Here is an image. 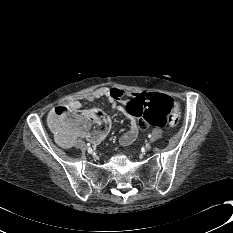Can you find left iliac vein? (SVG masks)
Masks as SVG:
<instances>
[{"mask_svg": "<svg viewBox=\"0 0 233 233\" xmlns=\"http://www.w3.org/2000/svg\"><path fill=\"white\" fill-rule=\"evenodd\" d=\"M150 149H151V144L150 143H146L145 150L149 151Z\"/></svg>", "mask_w": 233, "mask_h": 233, "instance_id": "obj_1", "label": "left iliac vein"}]
</instances>
